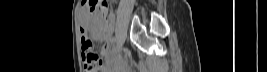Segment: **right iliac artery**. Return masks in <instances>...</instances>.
Instances as JSON below:
<instances>
[{
    "mask_svg": "<svg viewBox=\"0 0 267 72\" xmlns=\"http://www.w3.org/2000/svg\"><path fill=\"white\" fill-rule=\"evenodd\" d=\"M118 46V43L116 41V39L113 41L112 43V50L114 51L116 49V47Z\"/></svg>",
    "mask_w": 267,
    "mask_h": 72,
    "instance_id": "82829eb1",
    "label": "right iliac artery"
}]
</instances>
